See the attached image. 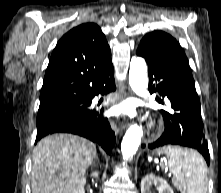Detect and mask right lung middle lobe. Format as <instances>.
Instances as JSON below:
<instances>
[{
    "label": "right lung middle lobe",
    "mask_w": 221,
    "mask_h": 193,
    "mask_svg": "<svg viewBox=\"0 0 221 193\" xmlns=\"http://www.w3.org/2000/svg\"><path fill=\"white\" fill-rule=\"evenodd\" d=\"M88 112L87 99L63 98L40 102L37 129L57 127L83 117Z\"/></svg>",
    "instance_id": "right-lung-middle-lobe-1"
}]
</instances>
